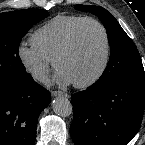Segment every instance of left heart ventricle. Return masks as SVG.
Segmentation results:
<instances>
[{"label": "left heart ventricle", "mask_w": 145, "mask_h": 145, "mask_svg": "<svg viewBox=\"0 0 145 145\" xmlns=\"http://www.w3.org/2000/svg\"><path fill=\"white\" fill-rule=\"evenodd\" d=\"M104 57L102 31L93 23H84L77 31L72 51L59 63L58 70L64 72L72 83H81L99 70Z\"/></svg>", "instance_id": "1"}]
</instances>
